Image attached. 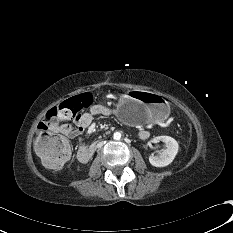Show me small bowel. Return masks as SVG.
Listing matches in <instances>:
<instances>
[{"mask_svg": "<svg viewBox=\"0 0 233 233\" xmlns=\"http://www.w3.org/2000/svg\"><path fill=\"white\" fill-rule=\"evenodd\" d=\"M111 114L112 111L103 102H99L94 104L87 112L79 114L74 118H70L72 120L71 123L67 122V120L70 119H53L51 121L50 130L69 138H76L91 124L94 117L110 116ZM137 134L140 139H146L149 137V131L145 128H140Z\"/></svg>", "mask_w": 233, "mask_h": 233, "instance_id": "obj_1", "label": "small bowel"}]
</instances>
